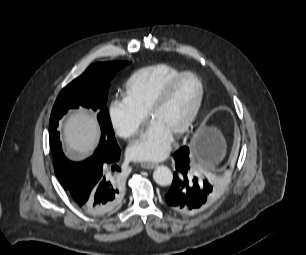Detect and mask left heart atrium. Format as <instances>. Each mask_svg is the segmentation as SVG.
<instances>
[{
  "instance_id": "39dd6f15",
  "label": "left heart atrium",
  "mask_w": 306,
  "mask_h": 255,
  "mask_svg": "<svg viewBox=\"0 0 306 255\" xmlns=\"http://www.w3.org/2000/svg\"><path fill=\"white\" fill-rule=\"evenodd\" d=\"M174 135L156 122H151L143 136L128 148V155L138 161H158L171 150Z\"/></svg>"
}]
</instances>
